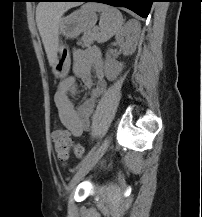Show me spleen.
Listing matches in <instances>:
<instances>
[{"label": "spleen", "instance_id": "spleen-1", "mask_svg": "<svg viewBox=\"0 0 202 217\" xmlns=\"http://www.w3.org/2000/svg\"><path fill=\"white\" fill-rule=\"evenodd\" d=\"M85 7L93 11L101 12L99 22L100 32L97 36L98 42L107 41L122 29L123 17L118 9L99 3L87 4Z\"/></svg>", "mask_w": 202, "mask_h": 217}]
</instances>
